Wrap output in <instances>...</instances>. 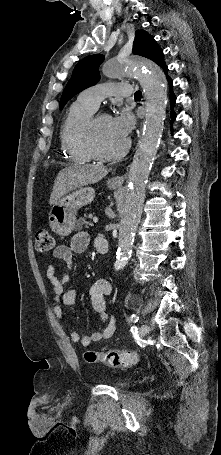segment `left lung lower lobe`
<instances>
[{"mask_svg": "<svg viewBox=\"0 0 221 455\" xmlns=\"http://www.w3.org/2000/svg\"><path fill=\"white\" fill-rule=\"evenodd\" d=\"M163 70L165 73L168 72V67L165 65L163 67ZM167 80L169 82V85H170V94H171V109L173 108V105L175 104V101H176V97L175 95L173 94L172 92V80L170 79V77H167ZM171 118H172V121L175 119V113L173 111H171Z\"/></svg>", "mask_w": 221, "mask_h": 455, "instance_id": "1", "label": "left lung lower lobe"}]
</instances>
